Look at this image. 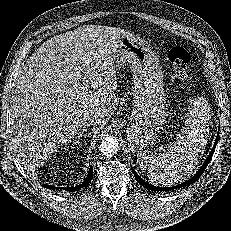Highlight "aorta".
I'll list each match as a JSON object with an SVG mask.
<instances>
[{"label":"aorta","instance_id":"aorta-1","mask_svg":"<svg viewBox=\"0 0 231 231\" xmlns=\"http://www.w3.org/2000/svg\"><path fill=\"white\" fill-rule=\"evenodd\" d=\"M118 149L119 142L113 136L106 137L99 146V151L103 157L114 156L118 152Z\"/></svg>","mask_w":231,"mask_h":231}]
</instances>
